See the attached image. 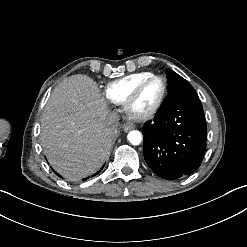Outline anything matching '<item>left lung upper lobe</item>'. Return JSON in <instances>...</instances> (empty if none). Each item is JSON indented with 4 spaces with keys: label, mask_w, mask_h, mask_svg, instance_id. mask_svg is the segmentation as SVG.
Listing matches in <instances>:
<instances>
[{
    "label": "left lung upper lobe",
    "mask_w": 247,
    "mask_h": 247,
    "mask_svg": "<svg viewBox=\"0 0 247 247\" xmlns=\"http://www.w3.org/2000/svg\"><path fill=\"white\" fill-rule=\"evenodd\" d=\"M168 96L163 101L160 108L168 105L169 103L188 98H199L194 88L191 84L182 78L180 75L175 73L174 71L168 69Z\"/></svg>",
    "instance_id": "1"
}]
</instances>
